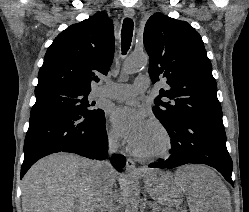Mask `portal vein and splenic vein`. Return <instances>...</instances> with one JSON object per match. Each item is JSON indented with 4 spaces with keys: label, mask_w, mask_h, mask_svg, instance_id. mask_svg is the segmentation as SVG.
<instances>
[{
    "label": "portal vein and splenic vein",
    "mask_w": 249,
    "mask_h": 212,
    "mask_svg": "<svg viewBox=\"0 0 249 212\" xmlns=\"http://www.w3.org/2000/svg\"><path fill=\"white\" fill-rule=\"evenodd\" d=\"M163 212H167V210H163Z\"/></svg>",
    "instance_id": "portal-vein-and-splenic-vein-1"
}]
</instances>
